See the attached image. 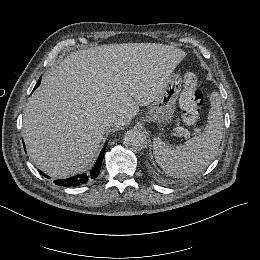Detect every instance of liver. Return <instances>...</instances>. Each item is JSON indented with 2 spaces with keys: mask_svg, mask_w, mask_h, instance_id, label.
Wrapping results in <instances>:
<instances>
[{
  "mask_svg": "<svg viewBox=\"0 0 260 260\" xmlns=\"http://www.w3.org/2000/svg\"><path fill=\"white\" fill-rule=\"evenodd\" d=\"M186 56L172 45L123 43L72 52L42 79L24 111L22 137L34 164L63 179L93 161L107 120L123 127L154 102Z\"/></svg>",
  "mask_w": 260,
  "mask_h": 260,
  "instance_id": "1",
  "label": "liver"
}]
</instances>
